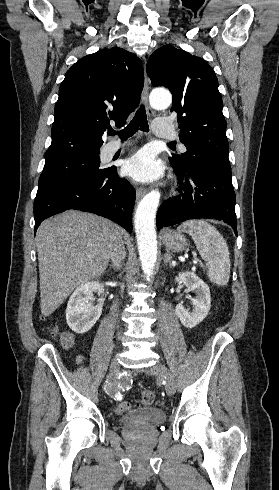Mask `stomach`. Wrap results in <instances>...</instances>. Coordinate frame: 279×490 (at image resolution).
I'll return each instance as SVG.
<instances>
[{
  "label": "stomach",
  "mask_w": 279,
  "mask_h": 490,
  "mask_svg": "<svg viewBox=\"0 0 279 490\" xmlns=\"http://www.w3.org/2000/svg\"><path fill=\"white\" fill-rule=\"evenodd\" d=\"M161 240L163 246L167 250H171V252H183L186 246H188L186 238L180 232H173V230H168V228L162 230Z\"/></svg>",
  "instance_id": "1"
}]
</instances>
